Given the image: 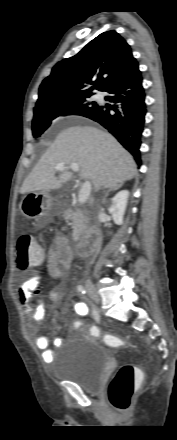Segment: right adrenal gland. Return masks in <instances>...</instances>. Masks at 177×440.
<instances>
[{
  "mask_svg": "<svg viewBox=\"0 0 177 440\" xmlns=\"http://www.w3.org/2000/svg\"><path fill=\"white\" fill-rule=\"evenodd\" d=\"M123 186V183H119L113 187H111L106 193H105V197H104V202L106 201V197H108L109 192L111 191H116L118 189H120Z\"/></svg>",
  "mask_w": 177,
  "mask_h": 440,
  "instance_id": "1",
  "label": "right adrenal gland"
}]
</instances>
